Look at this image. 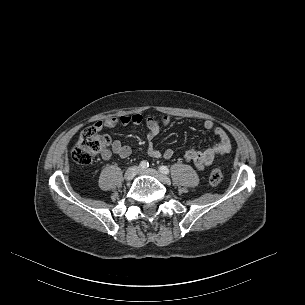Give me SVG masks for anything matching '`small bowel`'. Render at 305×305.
Segmentation results:
<instances>
[{
	"label": "small bowel",
	"mask_w": 305,
	"mask_h": 305,
	"mask_svg": "<svg viewBox=\"0 0 305 305\" xmlns=\"http://www.w3.org/2000/svg\"><path fill=\"white\" fill-rule=\"evenodd\" d=\"M170 116H162L161 118L147 117L143 118L140 114H129L122 115L119 118L111 117L106 120L98 121L95 123L97 129L110 128L118 124L127 126V125H139L145 123L147 128V153L152 158H165L171 159L174 156V151L172 149H166L163 152L158 150L154 141L159 137L162 127L167 126L171 123ZM202 127L206 130H210L214 133L217 138V142L207 146L202 149L191 148L184 153V159L188 162H192L198 170H204L209 167L214 158L218 155H224L230 152L231 150V141L227 132L221 128L216 127L214 122L211 120H205L202 123ZM132 153L130 146L124 144L120 140L113 141L111 149L102 153V158L104 160L111 159L112 155H118L120 158H128Z\"/></svg>",
	"instance_id": "small-bowel-1"
}]
</instances>
